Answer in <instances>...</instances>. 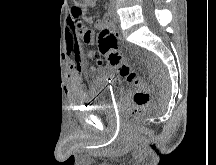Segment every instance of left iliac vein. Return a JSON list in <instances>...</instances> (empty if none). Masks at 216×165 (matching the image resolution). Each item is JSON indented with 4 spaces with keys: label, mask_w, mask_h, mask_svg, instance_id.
<instances>
[{
    "label": "left iliac vein",
    "mask_w": 216,
    "mask_h": 165,
    "mask_svg": "<svg viewBox=\"0 0 216 165\" xmlns=\"http://www.w3.org/2000/svg\"><path fill=\"white\" fill-rule=\"evenodd\" d=\"M114 21L118 22L119 21V16L117 13H114Z\"/></svg>",
    "instance_id": "obj_1"
}]
</instances>
